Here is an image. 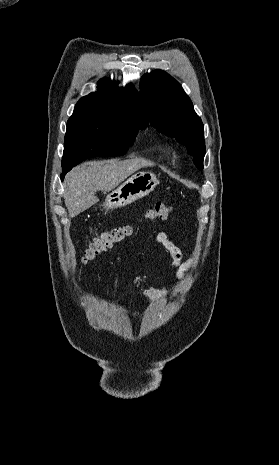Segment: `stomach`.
<instances>
[{
  "mask_svg": "<svg viewBox=\"0 0 279 465\" xmlns=\"http://www.w3.org/2000/svg\"><path fill=\"white\" fill-rule=\"evenodd\" d=\"M158 184L159 180L152 172H138L108 194L103 205L107 210L125 207L148 195Z\"/></svg>",
  "mask_w": 279,
  "mask_h": 465,
  "instance_id": "1",
  "label": "stomach"
}]
</instances>
